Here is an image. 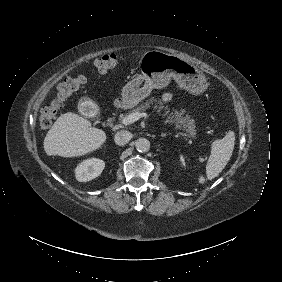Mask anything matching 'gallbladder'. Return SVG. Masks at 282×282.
<instances>
[{"instance_id": "gallbladder-1", "label": "gallbladder", "mask_w": 282, "mask_h": 282, "mask_svg": "<svg viewBox=\"0 0 282 282\" xmlns=\"http://www.w3.org/2000/svg\"><path fill=\"white\" fill-rule=\"evenodd\" d=\"M89 101H90L89 99L83 98V99L79 102L78 107L87 106V104H88Z\"/></svg>"}]
</instances>
